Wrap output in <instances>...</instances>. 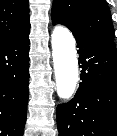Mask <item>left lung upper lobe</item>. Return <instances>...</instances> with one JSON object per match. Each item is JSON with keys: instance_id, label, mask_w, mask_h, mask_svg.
Segmentation results:
<instances>
[{"instance_id": "obj_1", "label": "left lung upper lobe", "mask_w": 117, "mask_h": 136, "mask_svg": "<svg viewBox=\"0 0 117 136\" xmlns=\"http://www.w3.org/2000/svg\"><path fill=\"white\" fill-rule=\"evenodd\" d=\"M51 17L74 33L114 42V27L105 0H54Z\"/></svg>"}]
</instances>
